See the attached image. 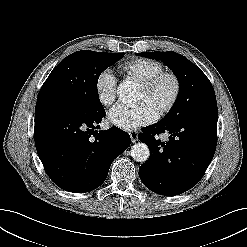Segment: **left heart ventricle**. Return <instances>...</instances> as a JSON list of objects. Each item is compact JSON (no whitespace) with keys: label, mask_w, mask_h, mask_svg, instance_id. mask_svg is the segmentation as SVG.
Segmentation results:
<instances>
[{"label":"left heart ventricle","mask_w":247,"mask_h":247,"mask_svg":"<svg viewBox=\"0 0 247 247\" xmlns=\"http://www.w3.org/2000/svg\"><path fill=\"white\" fill-rule=\"evenodd\" d=\"M173 88V82L170 79H164L150 94H147L141 87L137 100L142 101L146 99L158 110L161 105L169 100Z\"/></svg>","instance_id":"b2bd125f"}]
</instances>
